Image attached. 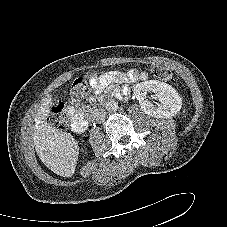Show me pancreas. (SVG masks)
Here are the masks:
<instances>
[{
	"instance_id": "1",
	"label": "pancreas",
	"mask_w": 227,
	"mask_h": 227,
	"mask_svg": "<svg viewBox=\"0 0 227 227\" xmlns=\"http://www.w3.org/2000/svg\"><path fill=\"white\" fill-rule=\"evenodd\" d=\"M83 109H88V110H90L91 107H90V106H84Z\"/></svg>"
}]
</instances>
